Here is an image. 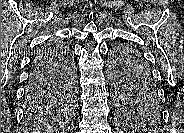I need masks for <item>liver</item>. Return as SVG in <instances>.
I'll return each instance as SVG.
<instances>
[{
    "label": "liver",
    "mask_w": 184,
    "mask_h": 133,
    "mask_svg": "<svg viewBox=\"0 0 184 133\" xmlns=\"http://www.w3.org/2000/svg\"><path fill=\"white\" fill-rule=\"evenodd\" d=\"M61 128H63V130H64V127L61 125Z\"/></svg>",
    "instance_id": "6515ba94"
}]
</instances>
